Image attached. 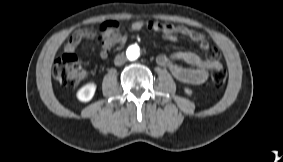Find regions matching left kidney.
Returning a JSON list of instances; mask_svg holds the SVG:
<instances>
[{
    "mask_svg": "<svg viewBox=\"0 0 283 162\" xmlns=\"http://www.w3.org/2000/svg\"><path fill=\"white\" fill-rule=\"evenodd\" d=\"M185 93L188 94V95H191L192 94V91L188 88H185Z\"/></svg>",
    "mask_w": 283,
    "mask_h": 162,
    "instance_id": "5707ae66",
    "label": "left kidney"
}]
</instances>
